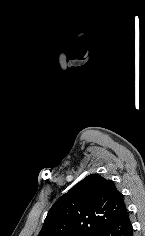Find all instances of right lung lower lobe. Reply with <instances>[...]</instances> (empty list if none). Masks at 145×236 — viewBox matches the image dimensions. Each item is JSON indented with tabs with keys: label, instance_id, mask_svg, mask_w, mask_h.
<instances>
[{
	"label": "right lung lower lobe",
	"instance_id": "right-lung-lower-lobe-1",
	"mask_svg": "<svg viewBox=\"0 0 145 236\" xmlns=\"http://www.w3.org/2000/svg\"><path fill=\"white\" fill-rule=\"evenodd\" d=\"M96 236H133V228L126 210L114 221L100 230Z\"/></svg>",
	"mask_w": 145,
	"mask_h": 236
}]
</instances>
